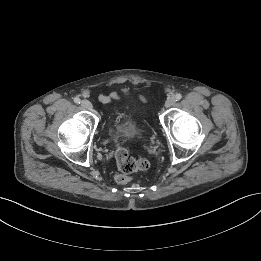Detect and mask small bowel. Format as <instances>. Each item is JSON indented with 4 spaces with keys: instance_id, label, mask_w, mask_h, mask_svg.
<instances>
[{
    "instance_id": "obj_1",
    "label": "small bowel",
    "mask_w": 261,
    "mask_h": 261,
    "mask_svg": "<svg viewBox=\"0 0 261 261\" xmlns=\"http://www.w3.org/2000/svg\"><path fill=\"white\" fill-rule=\"evenodd\" d=\"M117 99H119V95L115 92L100 95V101L105 104H109L112 101L117 100Z\"/></svg>"
}]
</instances>
